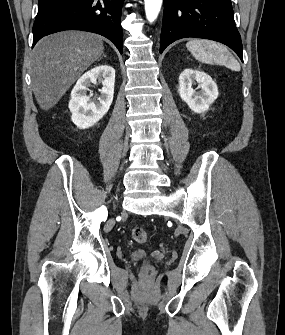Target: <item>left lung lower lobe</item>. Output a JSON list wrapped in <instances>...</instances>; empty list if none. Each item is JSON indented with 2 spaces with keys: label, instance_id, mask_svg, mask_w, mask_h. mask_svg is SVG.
Here are the masks:
<instances>
[{
  "label": "left lung lower lobe",
  "instance_id": "left-lung-lower-lobe-1",
  "mask_svg": "<svg viewBox=\"0 0 285 335\" xmlns=\"http://www.w3.org/2000/svg\"><path fill=\"white\" fill-rule=\"evenodd\" d=\"M186 37L221 42L242 58V43L230 0H164L160 53Z\"/></svg>",
  "mask_w": 285,
  "mask_h": 335
}]
</instances>
